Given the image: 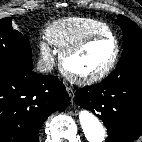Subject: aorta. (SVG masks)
I'll return each instance as SVG.
<instances>
[{
    "instance_id": "762f6f07",
    "label": "aorta",
    "mask_w": 142,
    "mask_h": 142,
    "mask_svg": "<svg viewBox=\"0 0 142 142\" xmlns=\"http://www.w3.org/2000/svg\"><path fill=\"white\" fill-rule=\"evenodd\" d=\"M78 118L88 142H103L105 140V130L92 112L83 109L79 112Z\"/></svg>"
}]
</instances>
